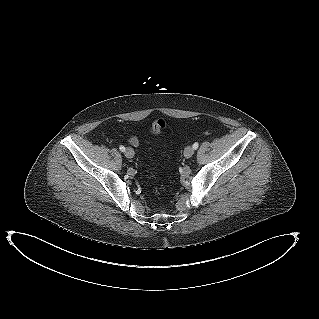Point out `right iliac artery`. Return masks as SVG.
Returning <instances> with one entry per match:
<instances>
[{
	"mask_svg": "<svg viewBox=\"0 0 319 319\" xmlns=\"http://www.w3.org/2000/svg\"><path fill=\"white\" fill-rule=\"evenodd\" d=\"M119 149H120V151H122V152H124V151H125V147H124V146H122V145L119 147Z\"/></svg>",
	"mask_w": 319,
	"mask_h": 319,
	"instance_id": "right-iliac-artery-1",
	"label": "right iliac artery"
}]
</instances>
